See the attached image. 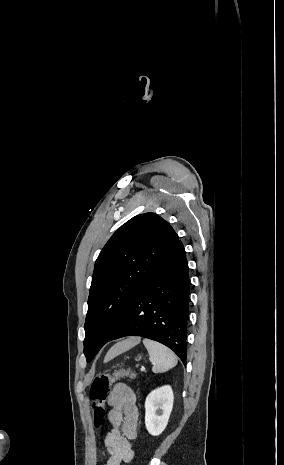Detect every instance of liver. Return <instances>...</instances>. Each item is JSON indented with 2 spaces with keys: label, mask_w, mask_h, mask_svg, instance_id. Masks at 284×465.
Masks as SVG:
<instances>
[{
  "label": "liver",
  "mask_w": 284,
  "mask_h": 465,
  "mask_svg": "<svg viewBox=\"0 0 284 465\" xmlns=\"http://www.w3.org/2000/svg\"><path fill=\"white\" fill-rule=\"evenodd\" d=\"M138 343H140V337H129V339H124V341L116 343V345L111 347L110 351H108L104 359V363H108V361H111V359H114L117 355H121V353L129 351V349H132V347H135Z\"/></svg>",
  "instance_id": "6515ba94"
}]
</instances>
